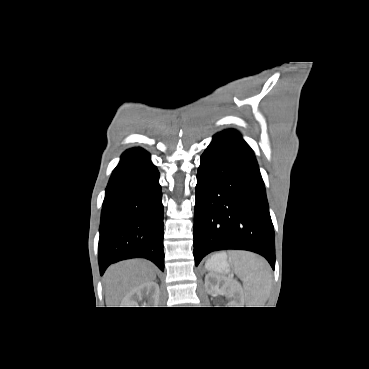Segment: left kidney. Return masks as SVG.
<instances>
[{
  "label": "left kidney",
  "mask_w": 369,
  "mask_h": 369,
  "mask_svg": "<svg viewBox=\"0 0 369 369\" xmlns=\"http://www.w3.org/2000/svg\"><path fill=\"white\" fill-rule=\"evenodd\" d=\"M205 288L209 294L220 292L225 294L228 298H231L232 301L229 303L231 307L244 306V296L241 288L233 280L208 273L205 276Z\"/></svg>",
  "instance_id": "1"
}]
</instances>
